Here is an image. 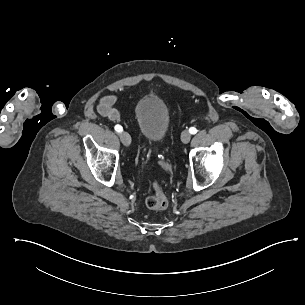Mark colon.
I'll list each match as a JSON object with an SVG mask.
<instances>
[{"mask_svg": "<svg viewBox=\"0 0 305 305\" xmlns=\"http://www.w3.org/2000/svg\"><path fill=\"white\" fill-rule=\"evenodd\" d=\"M146 205L152 210H163L168 205V198L161 190L157 181H154V193L145 200Z\"/></svg>", "mask_w": 305, "mask_h": 305, "instance_id": "5ec220e1", "label": "colon"}]
</instances>
